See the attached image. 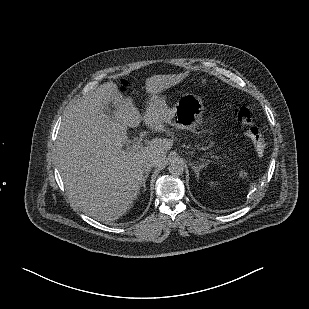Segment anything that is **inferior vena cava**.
<instances>
[{
	"mask_svg": "<svg viewBox=\"0 0 309 309\" xmlns=\"http://www.w3.org/2000/svg\"><path fill=\"white\" fill-rule=\"evenodd\" d=\"M155 166H157V165H155V164H153V163H147V164H145V166H144V171L147 173V172H149L150 170H151V168H153V167H155Z\"/></svg>",
	"mask_w": 309,
	"mask_h": 309,
	"instance_id": "1",
	"label": "inferior vena cava"
}]
</instances>
